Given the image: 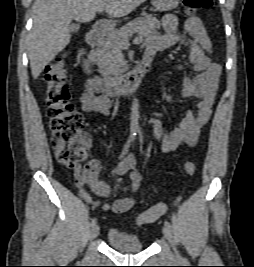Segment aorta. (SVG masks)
Masks as SVG:
<instances>
[{
  "mask_svg": "<svg viewBox=\"0 0 254 267\" xmlns=\"http://www.w3.org/2000/svg\"><path fill=\"white\" fill-rule=\"evenodd\" d=\"M139 102L137 98L133 99L130 114V138H134L138 130L139 120Z\"/></svg>",
  "mask_w": 254,
  "mask_h": 267,
  "instance_id": "aorta-1",
  "label": "aorta"
}]
</instances>
